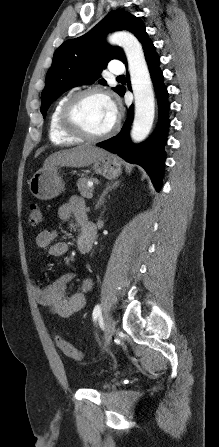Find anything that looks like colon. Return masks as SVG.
Instances as JSON below:
<instances>
[{
    "label": "colon",
    "mask_w": 219,
    "mask_h": 447,
    "mask_svg": "<svg viewBox=\"0 0 219 447\" xmlns=\"http://www.w3.org/2000/svg\"><path fill=\"white\" fill-rule=\"evenodd\" d=\"M42 221V212L38 204H31L29 206V224L33 227L38 226ZM56 343L62 353L73 360L79 361L82 359L81 352L72 344L67 342L60 336L56 337Z\"/></svg>",
    "instance_id": "5ec220e1"
}]
</instances>
